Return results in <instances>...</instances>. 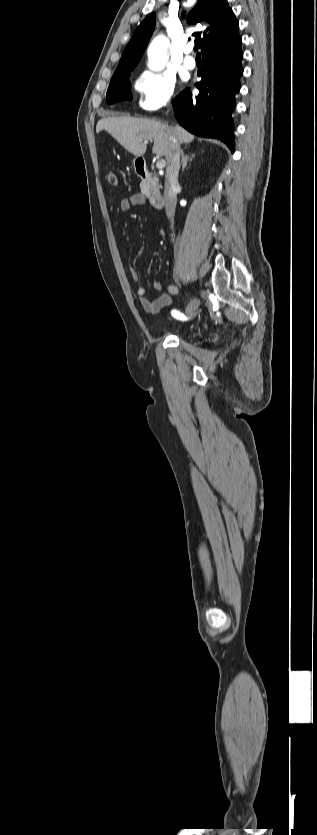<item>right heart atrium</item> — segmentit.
Wrapping results in <instances>:
<instances>
[{
  "label": "right heart atrium",
  "mask_w": 317,
  "mask_h": 835,
  "mask_svg": "<svg viewBox=\"0 0 317 835\" xmlns=\"http://www.w3.org/2000/svg\"><path fill=\"white\" fill-rule=\"evenodd\" d=\"M134 87L139 95L140 108L149 112L157 111L173 98L175 78L166 72L144 70L136 77Z\"/></svg>",
  "instance_id": "right-heart-atrium-1"
}]
</instances>
